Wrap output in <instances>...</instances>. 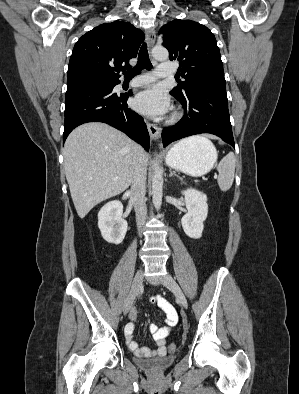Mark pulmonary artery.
<instances>
[{"label":"pulmonary artery","instance_id":"e3ab8cb5","mask_svg":"<svg viewBox=\"0 0 299 394\" xmlns=\"http://www.w3.org/2000/svg\"><path fill=\"white\" fill-rule=\"evenodd\" d=\"M173 74V66L171 64L162 63L154 72L146 73L135 77L130 81L129 85L133 87L146 86L155 81L157 78H166Z\"/></svg>","mask_w":299,"mask_h":394}]
</instances>
